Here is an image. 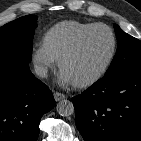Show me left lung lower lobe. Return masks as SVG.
<instances>
[{"label": "left lung lower lobe", "instance_id": "1", "mask_svg": "<svg viewBox=\"0 0 141 141\" xmlns=\"http://www.w3.org/2000/svg\"><path fill=\"white\" fill-rule=\"evenodd\" d=\"M72 102L85 141L141 140V66L104 76Z\"/></svg>", "mask_w": 141, "mask_h": 141}]
</instances>
